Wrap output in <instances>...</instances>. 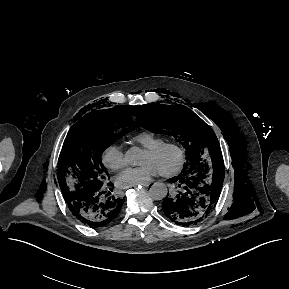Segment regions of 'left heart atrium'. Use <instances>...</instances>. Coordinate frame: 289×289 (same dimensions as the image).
I'll return each instance as SVG.
<instances>
[{
  "mask_svg": "<svg viewBox=\"0 0 289 289\" xmlns=\"http://www.w3.org/2000/svg\"><path fill=\"white\" fill-rule=\"evenodd\" d=\"M158 172L153 164L128 167L116 176L115 182L120 188L136 187L149 183Z\"/></svg>",
  "mask_w": 289,
  "mask_h": 289,
  "instance_id": "obj_1",
  "label": "left heart atrium"
}]
</instances>
